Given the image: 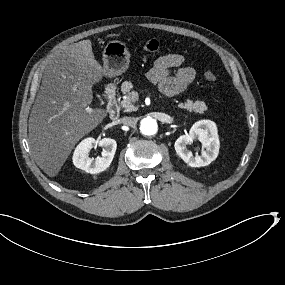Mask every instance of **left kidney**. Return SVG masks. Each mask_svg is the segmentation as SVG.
Here are the masks:
<instances>
[{
  "label": "left kidney",
  "mask_w": 285,
  "mask_h": 285,
  "mask_svg": "<svg viewBox=\"0 0 285 285\" xmlns=\"http://www.w3.org/2000/svg\"><path fill=\"white\" fill-rule=\"evenodd\" d=\"M199 140L206 149L201 155L193 156L187 145ZM176 153L191 167H202L214 161L219 153L220 142L215 122L199 120L193 124L188 135L180 136L175 142Z\"/></svg>",
  "instance_id": "obj_1"
}]
</instances>
